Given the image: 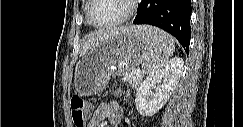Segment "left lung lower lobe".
Masks as SVG:
<instances>
[{
    "instance_id": "obj_1",
    "label": "left lung lower lobe",
    "mask_w": 243,
    "mask_h": 127,
    "mask_svg": "<svg viewBox=\"0 0 243 127\" xmlns=\"http://www.w3.org/2000/svg\"><path fill=\"white\" fill-rule=\"evenodd\" d=\"M191 11L190 0H142L133 23L149 24L167 31L188 53Z\"/></svg>"
}]
</instances>
